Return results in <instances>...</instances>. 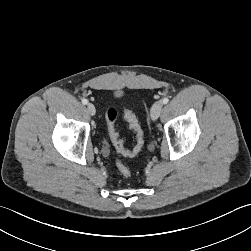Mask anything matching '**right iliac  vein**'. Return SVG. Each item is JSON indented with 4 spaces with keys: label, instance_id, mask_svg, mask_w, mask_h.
<instances>
[{
    "label": "right iliac vein",
    "instance_id": "obj_1",
    "mask_svg": "<svg viewBox=\"0 0 251 251\" xmlns=\"http://www.w3.org/2000/svg\"><path fill=\"white\" fill-rule=\"evenodd\" d=\"M87 110L92 116L96 114L95 106L92 103L87 104Z\"/></svg>",
    "mask_w": 251,
    "mask_h": 251
}]
</instances>
